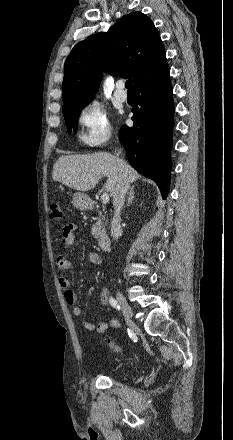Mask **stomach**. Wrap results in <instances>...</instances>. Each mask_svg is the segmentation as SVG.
<instances>
[{
  "mask_svg": "<svg viewBox=\"0 0 233 440\" xmlns=\"http://www.w3.org/2000/svg\"><path fill=\"white\" fill-rule=\"evenodd\" d=\"M72 204L78 210H86L90 208L91 200L86 194L77 192L73 196Z\"/></svg>",
  "mask_w": 233,
  "mask_h": 440,
  "instance_id": "obj_1",
  "label": "stomach"
}]
</instances>
